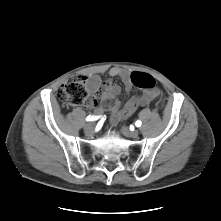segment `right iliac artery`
Returning a JSON list of instances; mask_svg holds the SVG:
<instances>
[{"mask_svg": "<svg viewBox=\"0 0 221 221\" xmlns=\"http://www.w3.org/2000/svg\"><path fill=\"white\" fill-rule=\"evenodd\" d=\"M99 117L98 116H94V115H89L86 118V121H96Z\"/></svg>", "mask_w": 221, "mask_h": 221, "instance_id": "right-iliac-artery-1", "label": "right iliac artery"}]
</instances>
